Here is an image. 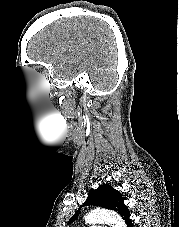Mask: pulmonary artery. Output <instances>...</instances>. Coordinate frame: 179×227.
<instances>
[{
  "label": "pulmonary artery",
  "instance_id": "pulmonary-artery-1",
  "mask_svg": "<svg viewBox=\"0 0 179 227\" xmlns=\"http://www.w3.org/2000/svg\"><path fill=\"white\" fill-rule=\"evenodd\" d=\"M90 227H106L105 225H101V224H93L92 226Z\"/></svg>",
  "mask_w": 179,
  "mask_h": 227
}]
</instances>
